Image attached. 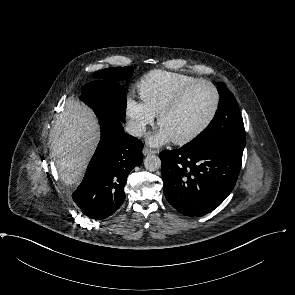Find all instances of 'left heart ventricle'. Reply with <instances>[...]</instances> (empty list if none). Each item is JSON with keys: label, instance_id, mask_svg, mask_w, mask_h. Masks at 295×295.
Instances as JSON below:
<instances>
[{"label": "left heart ventricle", "instance_id": "left-heart-ventricle-1", "mask_svg": "<svg viewBox=\"0 0 295 295\" xmlns=\"http://www.w3.org/2000/svg\"><path fill=\"white\" fill-rule=\"evenodd\" d=\"M214 105V92L209 86L200 84L190 91L175 111L163 119L161 126L173 136L174 140L185 138L208 120Z\"/></svg>", "mask_w": 295, "mask_h": 295}]
</instances>
